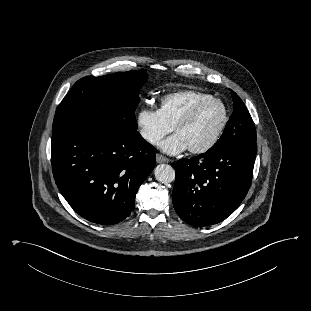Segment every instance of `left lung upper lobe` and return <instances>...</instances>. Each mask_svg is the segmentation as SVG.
Listing matches in <instances>:
<instances>
[{
	"mask_svg": "<svg viewBox=\"0 0 311 311\" xmlns=\"http://www.w3.org/2000/svg\"><path fill=\"white\" fill-rule=\"evenodd\" d=\"M231 95L234 111L226 124L222 136L211 150L221 149L240 142L256 143L255 125L251 115L240 97L232 90Z\"/></svg>",
	"mask_w": 311,
	"mask_h": 311,
	"instance_id": "1",
	"label": "left lung upper lobe"
}]
</instances>
